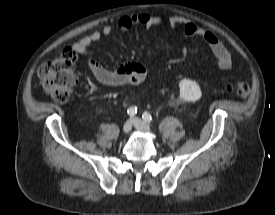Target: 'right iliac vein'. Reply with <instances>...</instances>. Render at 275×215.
<instances>
[{
	"instance_id": "1",
	"label": "right iliac vein",
	"mask_w": 275,
	"mask_h": 215,
	"mask_svg": "<svg viewBox=\"0 0 275 215\" xmlns=\"http://www.w3.org/2000/svg\"><path fill=\"white\" fill-rule=\"evenodd\" d=\"M133 127V121L127 120L123 126L124 133H129Z\"/></svg>"
}]
</instances>
